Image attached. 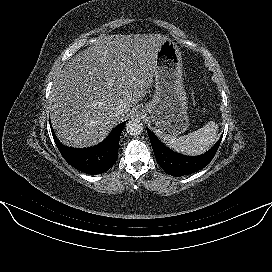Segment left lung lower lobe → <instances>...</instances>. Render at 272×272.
Here are the masks:
<instances>
[{"instance_id":"1","label":"left lung lower lobe","mask_w":272,"mask_h":272,"mask_svg":"<svg viewBox=\"0 0 272 272\" xmlns=\"http://www.w3.org/2000/svg\"><path fill=\"white\" fill-rule=\"evenodd\" d=\"M147 132L157 163L167 174L172 176L189 175L207 166L215 156L222 140L221 137L219 141L203 155L191 157L170 150L164 146L149 129H147Z\"/></svg>"}]
</instances>
